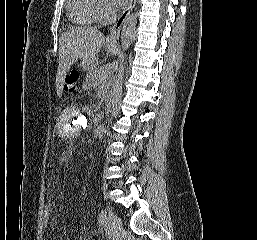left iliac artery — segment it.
Wrapping results in <instances>:
<instances>
[{
    "mask_svg": "<svg viewBox=\"0 0 257 240\" xmlns=\"http://www.w3.org/2000/svg\"><path fill=\"white\" fill-rule=\"evenodd\" d=\"M98 221L100 224H103L106 221V212L104 210H101Z\"/></svg>",
    "mask_w": 257,
    "mask_h": 240,
    "instance_id": "obj_1",
    "label": "left iliac artery"
}]
</instances>
